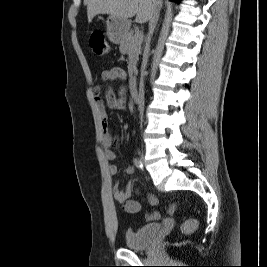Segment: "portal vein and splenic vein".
I'll use <instances>...</instances> for the list:
<instances>
[{"instance_id":"obj_1","label":"portal vein and splenic vein","mask_w":267,"mask_h":267,"mask_svg":"<svg viewBox=\"0 0 267 267\" xmlns=\"http://www.w3.org/2000/svg\"><path fill=\"white\" fill-rule=\"evenodd\" d=\"M136 38L142 41L143 40V33H141V32L136 33Z\"/></svg>"}]
</instances>
